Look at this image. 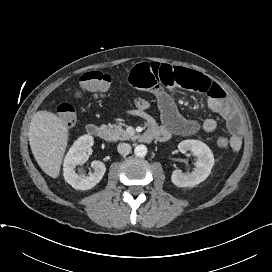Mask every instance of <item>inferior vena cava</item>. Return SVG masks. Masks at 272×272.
I'll return each mask as SVG.
<instances>
[{"mask_svg": "<svg viewBox=\"0 0 272 272\" xmlns=\"http://www.w3.org/2000/svg\"><path fill=\"white\" fill-rule=\"evenodd\" d=\"M117 151L121 155H128L131 152V145L128 143H120L117 146Z\"/></svg>", "mask_w": 272, "mask_h": 272, "instance_id": "inferior-vena-cava-1", "label": "inferior vena cava"}]
</instances>
